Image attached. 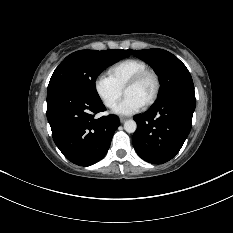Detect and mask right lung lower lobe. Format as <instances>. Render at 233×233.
Wrapping results in <instances>:
<instances>
[{"label":"right lung lower lobe","mask_w":233,"mask_h":233,"mask_svg":"<svg viewBox=\"0 0 233 233\" xmlns=\"http://www.w3.org/2000/svg\"><path fill=\"white\" fill-rule=\"evenodd\" d=\"M105 110L101 100L75 92L47 93V119L53 140L72 163L89 166L105 156L120 124L116 115L95 119V114Z\"/></svg>","instance_id":"98d812e1"}]
</instances>
